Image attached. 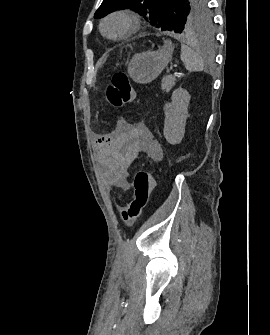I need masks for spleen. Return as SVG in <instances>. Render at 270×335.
<instances>
[{
    "instance_id": "spleen-1",
    "label": "spleen",
    "mask_w": 270,
    "mask_h": 335,
    "mask_svg": "<svg viewBox=\"0 0 270 335\" xmlns=\"http://www.w3.org/2000/svg\"><path fill=\"white\" fill-rule=\"evenodd\" d=\"M182 62L185 64L186 70L189 72H202L204 70V60L199 52H195L192 48H188L185 44H181Z\"/></svg>"
}]
</instances>
